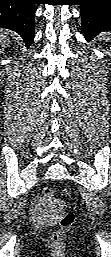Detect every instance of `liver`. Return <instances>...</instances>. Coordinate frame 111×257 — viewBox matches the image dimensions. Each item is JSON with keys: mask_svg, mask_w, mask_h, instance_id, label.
Returning <instances> with one entry per match:
<instances>
[{"mask_svg": "<svg viewBox=\"0 0 111 257\" xmlns=\"http://www.w3.org/2000/svg\"><path fill=\"white\" fill-rule=\"evenodd\" d=\"M9 36H8V32L2 30L1 32V46L5 47L9 45Z\"/></svg>", "mask_w": 111, "mask_h": 257, "instance_id": "liver-1", "label": "liver"}]
</instances>
